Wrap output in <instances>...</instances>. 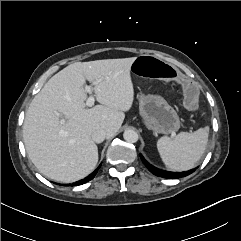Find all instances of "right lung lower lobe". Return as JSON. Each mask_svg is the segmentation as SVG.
Returning <instances> with one entry per match:
<instances>
[{
    "label": "right lung lower lobe",
    "instance_id": "obj_1",
    "mask_svg": "<svg viewBox=\"0 0 241 241\" xmlns=\"http://www.w3.org/2000/svg\"><path fill=\"white\" fill-rule=\"evenodd\" d=\"M96 173H97V170H95L92 174H90V175H89L88 177H86L85 179H82V180L76 182L75 185H82V184L90 181L91 179H93V178L95 177Z\"/></svg>",
    "mask_w": 241,
    "mask_h": 241
}]
</instances>
